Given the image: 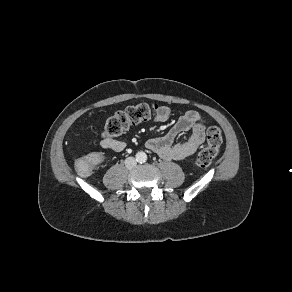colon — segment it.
I'll use <instances>...</instances> for the list:
<instances>
[{"mask_svg": "<svg viewBox=\"0 0 292 292\" xmlns=\"http://www.w3.org/2000/svg\"><path fill=\"white\" fill-rule=\"evenodd\" d=\"M156 105L140 103L129 106L110 116L104 126L103 137L114 138L128 130L131 126L137 125L151 119L157 112ZM223 142L222 131L217 126H211L207 132V144L198 153L195 166L207 167L216 156ZM100 155L93 154L79 159L76 163L77 170L81 174H88L99 161Z\"/></svg>", "mask_w": 292, "mask_h": 292, "instance_id": "5ec220e1", "label": "colon"}]
</instances>
